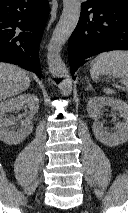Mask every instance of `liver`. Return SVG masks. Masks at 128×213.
Instances as JSON below:
<instances>
[{
    "label": "liver",
    "mask_w": 128,
    "mask_h": 213,
    "mask_svg": "<svg viewBox=\"0 0 128 213\" xmlns=\"http://www.w3.org/2000/svg\"><path fill=\"white\" fill-rule=\"evenodd\" d=\"M30 78L22 68L0 62V101L28 89Z\"/></svg>",
    "instance_id": "liver-1"
}]
</instances>
